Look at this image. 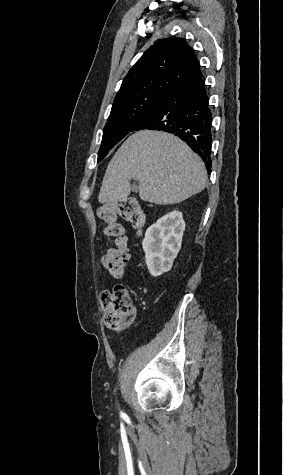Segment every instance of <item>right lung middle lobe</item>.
Wrapping results in <instances>:
<instances>
[{
    "instance_id": "obj_1",
    "label": "right lung middle lobe",
    "mask_w": 283,
    "mask_h": 475,
    "mask_svg": "<svg viewBox=\"0 0 283 475\" xmlns=\"http://www.w3.org/2000/svg\"><path fill=\"white\" fill-rule=\"evenodd\" d=\"M171 91L155 90L113 103L104 127L98 161H101L109 150L131 132L141 119L160 104Z\"/></svg>"
}]
</instances>
